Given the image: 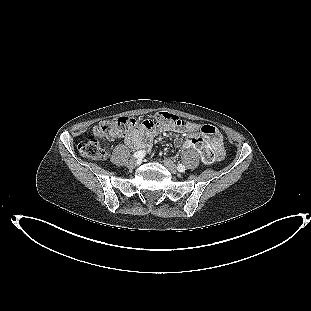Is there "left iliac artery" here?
Wrapping results in <instances>:
<instances>
[{
    "label": "left iliac artery",
    "instance_id": "44dca946",
    "mask_svg": "<svg viewBox=\"0 0 311 311\" xmlns=\"http://www.w3.org/2000/svg\"><path fill=\"white\" fill-rule=\"evenodd\" d=\"M177 170H178L179 172H184V171L186 170V168H185V166H184L183 164H179V165L177 166Z\"/></svg>",
    "mask_w": 311,
    "mask_h": 311
}]
</instances>
